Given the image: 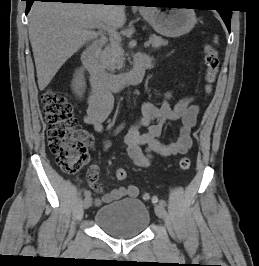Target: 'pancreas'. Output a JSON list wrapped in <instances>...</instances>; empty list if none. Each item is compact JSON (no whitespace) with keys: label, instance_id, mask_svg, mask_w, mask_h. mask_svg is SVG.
<instances>
[{"label":"pancreas","instance_id":"1","mask_svg":"<svg viewBox=\"0 0 259 266\" xmlns=\"http://www.w3.org/2000/svg\"><path fill=\"white\" fill-rule=\"evenodd\" d=\"M167 44L168 41L159 36H153L151 39V45L155 49ZM123 53L121 38L113 36L110 38L109 44L101 52L99 60L107 71L114 73L123 67Z\"/></svg>","mask_w":259,"mask_h":266}]
</instances>
